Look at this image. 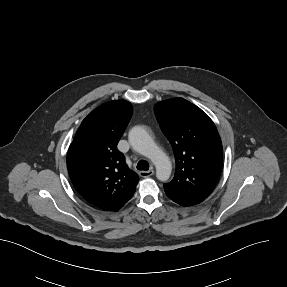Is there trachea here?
<instances>
[{"label": "trachea", "instance_id": "trachea-1", "mask_svg": "<svg viewBox=\"0 0 287 287\" xmlns=\"http://www.w3.org/2000/svg\"><path fill=\"white\" fill-rule=\"evenodd\" d=\"M137 169L141 171H147L149 169V163L145 160H140L137 163Z\"/></svg>", "mask_w": 287, "mask_h": 287}]
</instances>
